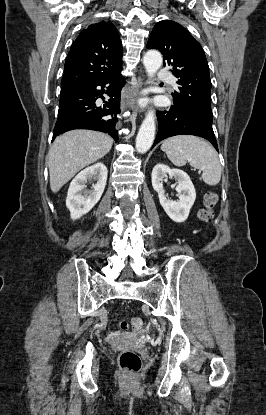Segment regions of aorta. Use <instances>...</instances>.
I'll use <instances>...</instances> for the list:
<instances>
[{"mask_svg": "<svg viewBox=\"0 0 266 415\" xmlns=\"http://www.w3.org/2000/svg\"><path fill=\"white\" fill-rule=\"evenodd\" d=\"M162 62V56L158 51L150 50L144 55L143 64L148 77L152 78L155 75L161 67ZM155 119V112L149 110L136 137V149L139 153L147 152L153 144L156 130Z\"/></svg>", "mask_w": 266, "mask_h": 415, "instance_id": "aorta-1", "label": "aorta"}]
</instances>
